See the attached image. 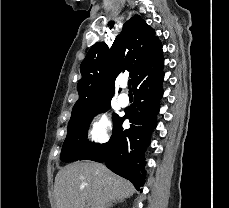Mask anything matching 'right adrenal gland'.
<instances>
[{"instance_id": "2a0ac1e0", "label": "right adrenal gland", "mask_w": 229, "mask_h": 208, "mask_svg": "<svg viewBox=\"0 0 229 208\" xmlns=\"http://www.w3.org/2000/svg\"><path fill=\"white\" fill-rule=\"evenodd\" d=\"M119 202H124V200H112V202L108 204V208H113L114 204H119Z\"/></svg>"}]
</instances>
